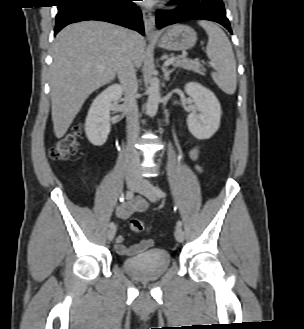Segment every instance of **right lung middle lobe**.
I'll return each instance as SVG.
<instances>
[{"label":"right lung middle lobe","instance_id":"1","mask_svg":"<svg viewBox=\"0 0 304 329\" xmlns=\"http://www.w3.org/2000/svg\"><path fill=\"white\" fill-rule=\"evenodd\" d=\"M64 1H66V0H61V2H64ZM61 2H60V3H61Z\"/></svg>","mask_w":304,"mask_h":329}]
</instances>
